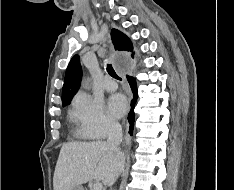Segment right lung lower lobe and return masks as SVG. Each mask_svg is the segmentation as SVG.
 Instances as JSON below:
<instances>
[{
  "label": "right lung lower lobe",
  "instance_id": "right-lung-lower-lobe-1",
  "mask_svg": "<svg viewBox=\"0 0 234 190\" xmlns=\"http://www.w3.org/2000/svg\"><path fill=\"white\" fill-rule=\"evenodd\" d=\"M126 77H127V80L131 86L132 92L134 94V98L131 102V106H132L131 111L128 114V121L130 124L129 133L132 134L133 128H134V105L137 101V86H136V81L133 77H131V76H126Z\"/></svg>",
  "mask_w": 234,
  "mask_h": 190
}]
</instances>
